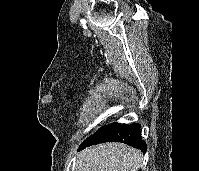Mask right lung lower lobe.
Wrapping results in <instances>:
<instances>
[{"label": "right lung lower lobe", "mask_w": 199, "mask_h": 171, "mask_svg": "<svg viewBox=\"0 0 199 171\" xmlns=\"http://www.w3.org/2000/svg\"><path fill=\"white\" fill-rule=\"evenodd\" d=\"M123 142L134 148L140 149L143 153L147 150L145 141L142 140L140 124L112 123L98 129L93 135L87 138L79 147L83 149L93 144L103 142Z\"/></svg>", "instance_id": "obj_1"}]
</instances>
